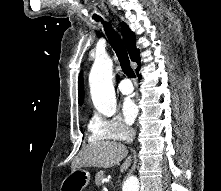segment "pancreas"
Masks as SVG:
<instances>
[{"label": "pancreas", "mask_w": 221, "mask_h": 191, "mask_svg": "<svg viewBox=\"0 0 221 191\" xmlns=\"http://www.w3.org/2000/svg\"><path fill=\"white\" fill-rule=\"evenodd\" d=\"M105 178V172L100 171L95 176V183L97 186L101 185L102 180Z\"/></svg>", "instance_id": "1"}]
</instances>
